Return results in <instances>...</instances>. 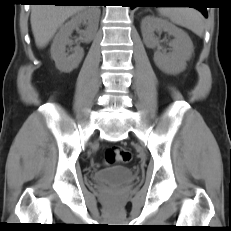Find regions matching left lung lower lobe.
<instances>
[{
	"instance_id": "left-lung-lower-lobe-1",
	"label": "left lung lower lobe",
	"mask_w": 231,
	"mask_h": 231,
	"mask_svg": "<svg viewBox=\"0 0 231 231\" xmlns=\"http://www.w3.org/2000/svg\"><path fill=\"white\" fill-rule=\"evenodd\" d=\"M135 3L139 4L138 6L142 7H157V4L162 3V0H134ZM196 5L194 8L200 10L205 17H208L206 7H200L202 4H193ZM135 6L131 7L134 8ZM192 7V6H190Z\"/></svg>"
}]
</instances>
